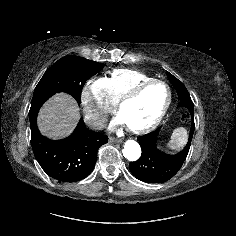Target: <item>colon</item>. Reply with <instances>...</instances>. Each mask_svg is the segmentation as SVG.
Instances as JSON below:
<instances>
[{
    "instance_id": "obj_1",
    "label": "colon",
    "mask_w": 236,
    "mask_h": 236,
    "mask_svg": "<svg viewBox=\"0 0 236 236\" xmlns=\"http://www.w3.org/2000/svg\"><path fill=\"white\" fill-rule=\"evenodd\" d=\"M182 120H183V121H187V120H188V116H187L186 114H183V115H182Z\"/></svg>"
}]
</instances>
